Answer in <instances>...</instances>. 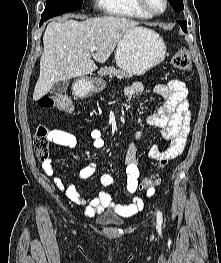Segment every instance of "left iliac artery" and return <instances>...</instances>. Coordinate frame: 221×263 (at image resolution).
<instances>
[{
	"label": "left iliac artery",
	"mask_w": 221,
	"mask_h": 263,
	"mask_svg": "<svg viewBox=\"0 0 221 263\" xmlns=\"http://www.w3.org/2000/svg\"><path fill=\"white\" fill-rule=\"evenodd\" d=\"M163 221V217H162V212H160L159 210L157 211V223L161 224Z\"/></svg>",
	"instance_id": "1"
}]
</instances>
